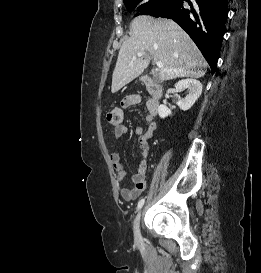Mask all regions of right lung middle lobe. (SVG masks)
<instances>
[{"instance_id": "1", "label": "right lung middle lobe", "mask_w": 261, "mask_h": 273, "mask_svg": "<svg viewBox=\"0 0 261 273\" xmlns=\"http://www.w3.org/2000/svg\"><path fill=\"white\" fill-rule=\"evenodd\" d=\"M170 1L171 0H124V3L129 12L137 10L140 12V15H151Z\"/></svg>"}]
</instances>
